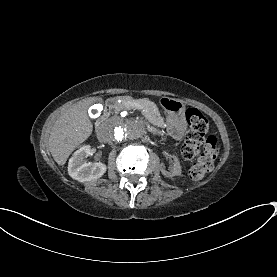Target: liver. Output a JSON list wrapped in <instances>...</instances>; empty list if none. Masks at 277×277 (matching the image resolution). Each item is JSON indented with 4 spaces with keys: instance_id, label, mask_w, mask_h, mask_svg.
<instances>
[{
    "instance_id": "1",
    "label": "liver",
    "mask_w": 277,
    "mask_h": 277,
    "mask_svg": "<svg viewBox=\"0 0 277 277\" xmlns=\"http://www.w3.org/2000/svg\"><path fill=\"white\" fill-rule=\"evenodd\" d=\"M100 97H89L65 111L51 129L48 148L54 161L64 166L74 150L93 133V124L87 110Z\"/></svg>"
}]
</instances>
